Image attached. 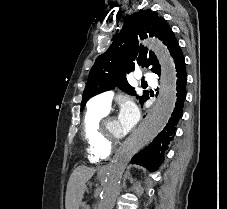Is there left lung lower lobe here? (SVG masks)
I'll list each match as a JSON object with an SVG mask.
<instances>
[{
    "label": "left lung lower lobe",
    "instance_id": "0a47b994",
    "mask_svg": "<svg viewBox=\"0 0 227 209\" xmlns=\"http://www.w3.org/2000/svg\"><path fill=\"white\" fill-rule=\"evenodd\" d=\"M174 63L177 70V100L173 113L166 124L165 128L154 138V140L143 150L138 152L131 160L134 164L146 167L150 171L158 169L164 160V153L173 135L175 134V126L182 115V107L186 98L187 74L185 70V59L179 48Z\"/></svg>",
    "mask_w": 227,
    "mask_h": 209
}]
</instances>
